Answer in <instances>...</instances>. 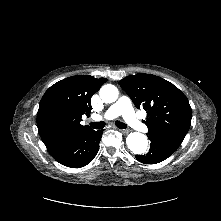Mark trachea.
Instances as JSON below:
<instances>
[{
	"mask_svg": "<svg viewBox=\"0 0 221 221\" xmlns=\"http://www.w3.org/2000/svg\"><path fill=\"white\" fill-rule=\"evenodd\" d=\"M90 125L93 129H102L105 126V122H103V121L94 122V123H90ZM115 125L120 129L127 128V125L125 123L120 122V121H115Z\"/></svg>",
	"mask_w": 221,
	"mask_h": 221,
	"instance_id": "trachea-1",
	"label": "trachea"
}]
</instances>
